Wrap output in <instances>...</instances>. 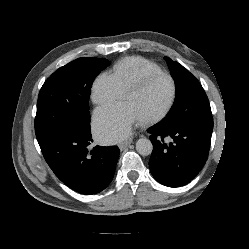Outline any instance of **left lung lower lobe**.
<instances>
[{"label": "left lung lower lobe", "instance_id": "left-lung-lower-lobe-1", "mask_svg": "<svg viewBox=\"0 0 249 249\" xmlns=\"http://www.w3.org/2000/svg\"><path fill=\"white\" fill-rule=\"evenodd\" d=\"M213 121L185 127H167L158 123L148 129L153 151L149 167L154 178L168 187H180L196 177L210 149ZM165 137L173 142L166 144Z\"/></svg>", "mask_w": 249, "mask_h": 249}]
</instances>
